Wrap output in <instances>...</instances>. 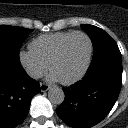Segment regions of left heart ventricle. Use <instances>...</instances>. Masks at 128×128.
<instances>
[{"label":"left heart ventricle","instance_id":"obj_1","mask_svg":"<svg viewBox=\"0 0 128 128\" xmlns=\"http://www.w3.org/2000/svg\"><path fill=\"white\" fill-rule=\"evenodd\" d=\"M88 41L84 36H73L66 44L59 61L52 73L59 80H68L77 75L83 68L88 56Z\"/></svg>","mask_w":128,"mask_h":128}]
</instances>
